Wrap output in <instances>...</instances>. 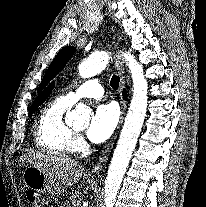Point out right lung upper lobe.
Returning <instances> with one entry per match:
<instances>
[{
    "mask_svg": "<svg viewBox=\"0 0 206 207\" xmlns=\"http://www.w3.org/2000/svg\"><path fill=\"white\" fill-rule=\"evenodd\" d=\"M53 87H54V82L51 83L49 87L36 98L33 105L31 106V109L37 108L39 105H41L48 98Z\"/></svg>",
    "mask_w": 206,
    "mask_h": 207,
    "instance_id": "cb5924a9",
    "label": "right lung upper lobe"
}]
</instances>
